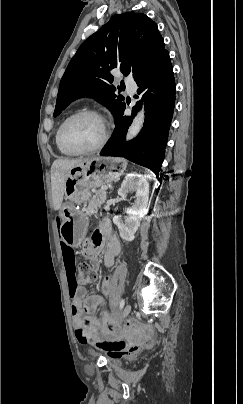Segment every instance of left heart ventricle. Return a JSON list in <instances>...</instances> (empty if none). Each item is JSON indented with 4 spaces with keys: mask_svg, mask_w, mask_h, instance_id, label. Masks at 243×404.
I'll return each instance as SVG.
<instances>
[{
    "mask_svg": "<svg viewBox=\"0 0 243 404\" xmlns=\"http://www.w3.org/2000/svg\"><path fill=\"white\" fill-rule=\"evenodd\" d=\"M104 122L92 115L80 116L71 121L64 131L65 138L80 147H92L103 137Z\"/></svg>",
    "mask_w": 243,
    "mask_h": 404,
    "instance_id": "left-heart-ventricle-1",
    "label": "left heart ventricle"
}]
</instances>
